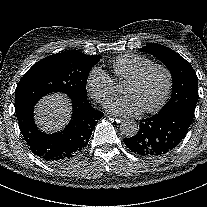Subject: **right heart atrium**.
I'll list each match as a JSON object with an SVG mask.
<instances>
[{
	"mask_svg": "<svg viewBox=\"0 0 207 207\" xmlns=\"http://www.w3.org/2000/svg\"><path fill=\"white\" fill-rule=\"evenodd\" d=\"M86 88L90 96L98 103L104 104L115 94L111 77L101 67H93L86 78Z\"/></svg>",
	"mask_w": 207,
	"mask_h": 207,
	"instance_id": "1",
	"label": "right heart atrium"
}]
</instances>
